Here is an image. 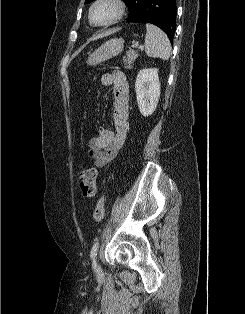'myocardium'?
<instances>
[{"label": "myocardium", "mask_w": 245, "mask_h": 314, "mask_svg": "<svg viewBox=\"0 0 245 314\" xmlns=\"http://www.w3.org/2000/svg\"><path fill=\"white\" fill-rule=\"evenodd\" d=\"M104 2L111 3L114 6L115 8L114 15L108 21L104 23H96L93 21V18H92L93 11L98 4L104 3ZM126 9H127V6L124 0H94L88 13L89 22L92 25L97 26V27L110 26L116 23L118 20H120L124 16Z\"/></svg>", "instance_id": "1"}]
</instances>
